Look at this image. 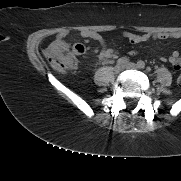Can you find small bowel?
Returning <instances> with one entry per match:
<instances>
[{
  "label": "small bowel",
  "instance_id": "small-bowel-1",
  "mask_svg": "<svg viewBox=\"0 0 181 181\" xmlns=\"http://www.w3.org/2000/svg\"><path fill=\"white\" fill-rule=\"evenodd\" d=\"M66 32H61L58 34L56 40L53 43L54 47L57 48H68V44L64 41V37ZM82 37L89 38L95 41H98L101 45V52L99 54V59H115L118 55L117 51L113 49H109L106 47L105 41L103 37L95 31H85L82 32ZM125 38H127L132 44H139L146 42L150 39L154 40H167V39H179L181 38V32H159L154 34H134L130 32H124L122 34ZM162 61H165L166 58H161ZM169 62L173 66L175 70L181 69V55L179 52L175 51L169 57Z\"/></svg>",
  "mask_w": 181,
  "mask_h": 181
}]
</instances>
